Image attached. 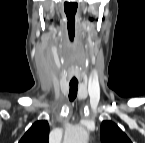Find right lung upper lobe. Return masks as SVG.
Returning a JSON list of instances; mask_svg holds the SVG:
<instances>
[{"label": "right lung upper lobe", "mask_w": 145, "mask_h": 143, "mask_svg": "<svg viewBox=\"0 0 145 143\" xmlns=\"http://www.w3.org/2000/svg\"><path fill=\"white\" fill-rule=\"evenodd\" d=\"M49 125L46 120L35 122L19 143H48Z\"/></svg>", "instance_id": "1"}]
</instances>
